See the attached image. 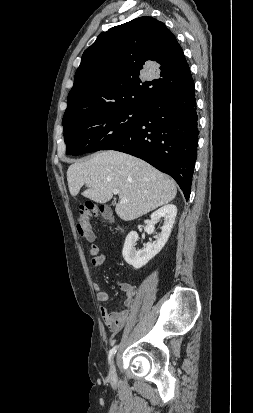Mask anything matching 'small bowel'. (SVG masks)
<instances>
[{"label": "small bowel", "mask_w": 253, "mask_h": 413, "mask_svg": "<svg viewBox=\"0 0 253 413\" xmlns=\"http://www.w3.org/2000/svg\"><path fill=\"white\" fill-rule=\"evenodd\" d=\"M89 252L93 268H100L106 263V255L100 253V249L97 245H92ZM119 288L126 294L124 308L121 311L113 312L104 306H100V314L103 322L111 331H118L123 327L137 298V288L133 284L122 281L119 283ZM95 289L97 292V300L100 303L109 301V294L102 290L98 284H95Z\"/></svg>", "instance_id": "1"}]
</instances>
